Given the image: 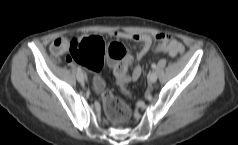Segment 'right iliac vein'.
<instances>
[{
  "label": "right iliac vein",
  "mask_w": 238,
  "mask_h": 145,
  "mask_svg": "<svg viewBox=\"0 0 238 145\" xmlns=\"http://www.w3.org/2000/svg\"><path fill=\"white\" fill-rule=\"evenodd\" d=\"M77 80L80 82V83H83L85 81V75L82 73V72H79L77 74Z\"/></svg>",
  "instance_id": "63e3f726"
}]
</instances>
